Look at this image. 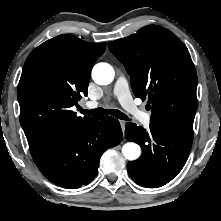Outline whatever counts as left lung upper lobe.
I'll use <instances>...</instances> for the list:
<instances>
[{"label": "left lung upper lobe", "instance_id": "obj_1", "mask_svg": "<svg viewBox=\"0 0 221 221\" xmlns=\"http://www.w3.org/2000/svg\"><path fill=\"white\" fill-rule=\"evenodd\" d=\"M108 47L124 64L135 96L148 98L151 123L193 137L197 74L181 40L165 28L149 25Z\"/></svg>", "mask_w": 221, "mask_h": 221}]
</instances>
